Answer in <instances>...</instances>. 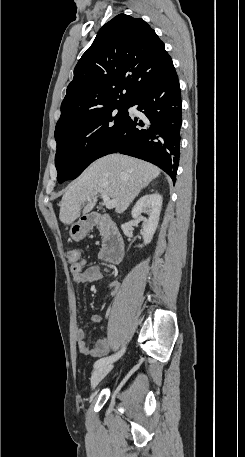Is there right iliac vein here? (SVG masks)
Wrapping results in <instances>:
<instances>
[{
	"mask_svg": "<svg viewBox=\"0 0 245 457\" xmlns=\"http://www.w3.org/2000/svg\"><path fill=\"white\" fill-rule=\"evenodd\" d=\"M111 364H105L96 368L91 376V388L92 390L102 381V379L110 372L112 369Z\"/></svg>",
	"mask_w": 245,
	"mask_h": 457,
	"instance_id": "obj_1",
	"label": "right iliac vein"
}]
</instances>
